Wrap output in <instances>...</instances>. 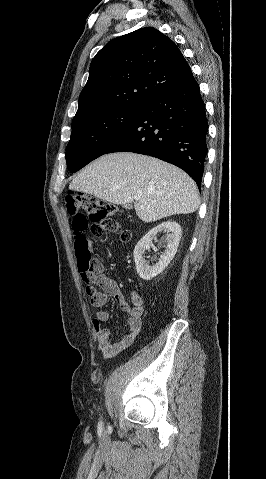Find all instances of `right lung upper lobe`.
I'll list each match as a JSON object with an SVG mask.
<instances>
[{
    "instance_id": "obj_1",
    "label": "right lung upper lobe",
    "mask_w": 266,
    "mask_h": 479,
    "mask_svg": "<svg viewBox=\"0 0 266 479\" xmlns=\"http://www.w3.org/2000/svg\"><path fill=\"white\" fill-rule=\"evenodd\" d=\"M193 77L177 45L152 27L115 38L93 58L73 120L121 108H144Z\"/></svg>"
}]
</instances>
